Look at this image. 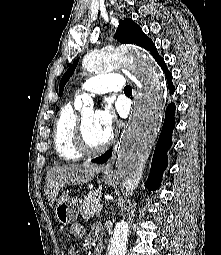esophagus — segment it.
<instances>
[{
  "instance_id": "esophagus-1",
  "label": "esophagus",
  "mask_w": 221,
  "mask_h": 255,
  "mask_svg": "<svg viewBox=\"0 0 221 255\" xmlns=\"http://www.w3.org/2000/svg\"><path fill=\"white\" fill-rule=\"evenodd\" d=\"M116 158V150L113 151V154L110 160L104 165L103 171L105 172H112L113 171V164Z\"/></svg>"
}]
</instances>
